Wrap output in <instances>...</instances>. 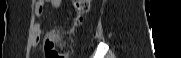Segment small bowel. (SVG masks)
<instances>
[{"mask_svg":"<svg viewBox=\"0 0 181 58\" xmlns=\"http://www.w3.org/2000/svg\"><path fill=\"white\" fill-rule=\"evenodd\" d=\"M62 0H50V4L53 8L58 9L62 6ZM46 1L45 0H37L35 2V14L37 17H40L43 12H44V6H45ZM40 34H41V27L39 24L35 25L34 28V38H33V46H36L39 42L40 39ZM51 37L57 40V34L55 32L49 33L46 38Z\"/></svg>","mask_w":181,"mask_h":58,"instance_id":"obj_1","label":"small bowel"}]
</instances>
